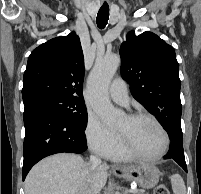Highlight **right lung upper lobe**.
I'll return each instance as SVG.
<instances>
[{
	"mask_svg": "<svg viewBox=\"0 0 201 194\" xmlns=\"http://www.w3.org/2000/svg\"><path fill=\"white\" fill-rule=\"evenodd\" d=\"M84 57L75 33L41 44L28 58L23 80V101L46 95L84 101Z\"/></svg>",
	"mask_w": 201,
	"mask_h": 194,
	"instance_id": "1",
	"label": "right lung upper lobe"
}]
</instances>
